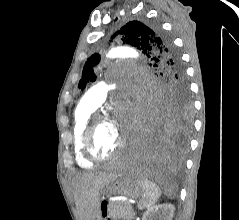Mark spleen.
Here are the masks:
<instances>
[{"mask_svg":"<svg viewBox=\"0 0 239 220\" xmlns=\"http://www.w3.org/2000/svg\"><path fill=\"white\" fill-rule=\"evenodd\" d=\"M136 182L143 191L142 198L138 203V209H148L158 201L162 192L154 182L148 179H137Z\"/></svg>","mask_w":239,"mask_h":220,"instance_id":"3e777b00","label":"spleen"}]
</instances>
